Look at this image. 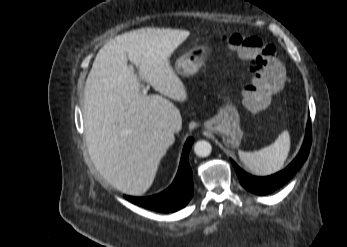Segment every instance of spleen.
<instances>
[{
    "label": "spleen",
    "mask_w": 347,
    "mask_h": 247,
    "mask_svg": "<svg viewBox=\"0 0 347 247\" xmlns=\"http://www.w3.org/2000/svg\"><path fill=\"white\" fill-rule=\"evenodd\" d=\"M291 148L288 130H284L275 142L254 152H239V158L245 167L258 176L271 175L282 169Z\"/></svg>",
    "instance_id": "3e777b00"
}]
</instances>
